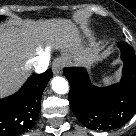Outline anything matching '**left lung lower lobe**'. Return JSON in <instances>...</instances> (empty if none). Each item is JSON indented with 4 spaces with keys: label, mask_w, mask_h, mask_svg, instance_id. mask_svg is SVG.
Returning a JSON list of instances; mask_svg holds the SVG:
<instances>
[{
    "label": "left lung lower lobe",
    "mask_w": 136,
    "mask_h": 136,
    "mask_svg": "<svg viewBox=\"0 0 136 136\" xmlns=\"http://www.w3.org/2000/svg\"><path fill=\"white\" fill-rule=\"evenodd\" d=\"M121 59L124 62L122 79L108 87H97L90 83L83 68H65L68 79L70 107L89 129L111 130L125 123L136 111V56L126 42H119Z\"/></svg>",
    "instance_id": "obj_1"
}]
</instances>
